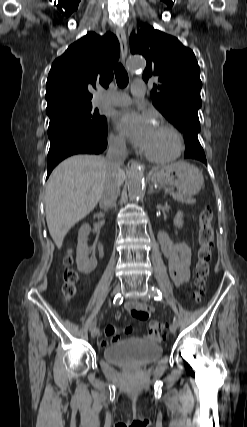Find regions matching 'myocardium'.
Here are the masks:
<instances>
[{
    "instance_id": "myocardium-1",
    "label": "myocardium",
    "mask_w": 247,
    "mask_h": 427,
    "mask_svg": "<svg viewBox=\"0 0 247 427\" xmlns=\"http://www.w3.org/2000/svg\"><path fill=\"white\" fill-rule=\"evenodd\" d=\"M158 127L165 129L172 135L174 139L173 150L167 155H153L145 150L142 151V154L146 159H148L153 163L164 164V163L172 162L180 156L183 150L182 136L180 132L170 123L162 122L158 125Z\"/></svg>"
}]
</instances>
